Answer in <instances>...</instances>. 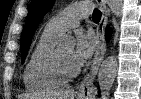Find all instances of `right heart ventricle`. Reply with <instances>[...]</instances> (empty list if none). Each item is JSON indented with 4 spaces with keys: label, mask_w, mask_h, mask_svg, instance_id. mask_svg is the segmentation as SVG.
Masks as SVG:
<instances>
[{
    "label": "right heart ventricle",
    "mask_w": 141,
    "mask_h": 99,
    "mask_svg": "<svg viewBox=\"0 0 141 99\" xmlns=\"http://www.w3.org/2000/svg\"><path fill=\"white\" fill-rule=\"evenodd\" d=\"M57 39L58 36L45 30L40 35L23 74V82L28 90L34 92L50 91L63 84V81L52 73L49 63Z\"/></svg>",
    "instance_id": "right-heart-ventricle-1"
}]
</instances>
